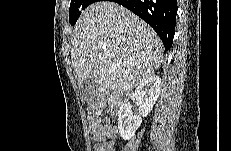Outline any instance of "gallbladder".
Listing matches in <instances>:
<instances>
[{
	"label": "gallbladder",
	"mask_w": 231,
	"mask_h": 151,
	"mask_svg": "<svg viewBox=\"0 0 231 151\" xmlns=\"http://www.w3.org/2000/svg\"><path fill=\"white\" fill-rule=\"evenodd\" d=\"M96 96H97L96 83L91 78L86 79L83 83V87L81 91L82 100L85 103L90 104L95 100Z\"/></svg>",
	"instance_id": "bac80fb5"
}]
</instances>
